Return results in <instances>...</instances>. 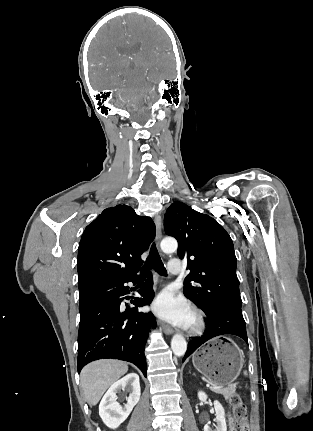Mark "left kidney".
Masks as SVG:
<instances>
[{
	"label": "left kidney",
	"instance_id": "obj_1",
	"mask_svg": "<svg viewBox=\"0 0 313 431\" xmlns=\"http://www.w3.org/2000/svg\"><path fill=\"white\" fill-rule=\"evenodd\" d=\"M198 398L200 401L204 402L207 399V395L200 391L198 392ZM214 409L216 412V429L212 430L208 425L204 426V431H227L226 419H225V410L223 406L218 401H214Z\"/></svg>",
	"mask_w": 313,
	"mask_h": 431
}]
</instances>
